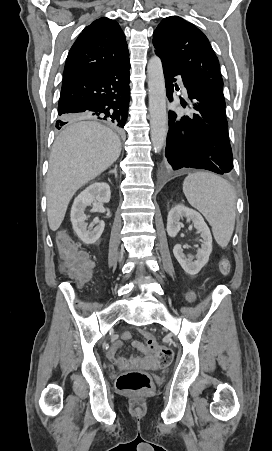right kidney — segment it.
<instances>
[{
    "instance_id": "right-kidney-1",
    "label": "right kidney",
    "mask_w": 272,
    "mask_h": 451,
    "mask_svg": "<svg viewBox=\"0 0 272 451\" xmlns=\"http://www.w3.org/2000/svg\"><path fill=\"white\" fill-rule=\"evenodd\" d=\"M111 192L110 186L101 182V184H91L86 190H83L77 198L74 200V204L71 208V222L74 231H76L78 237H81L84 243H95L99 239L104 227L105 222L99 220V218H94L91 229H88V224L86 214H84L87 206L93 204L95 210H101L100 204H107L110 202Z\"/></svg>"
}]
</instances>
